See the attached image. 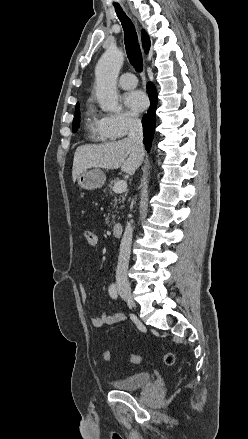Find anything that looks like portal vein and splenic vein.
I'll use <instances>...</instances> for the list:
<instances>
[{"label": "portal vein and splenic vein", "mask_w": 248, "mask_h": 439, "mask_svg": "<svg viewBox=\"0 0 248 439\" xmlns=\"http://www.w3.org/2000/svg\"><path fill=\"white\" fill-rule=\"evenodd\" d=\"M113 191L115 193H123L127 190V181L125 180H121L119 182H117L114 186H113Z\"/></svg>", "instance_id": "18ae733b"}]
</instances>
